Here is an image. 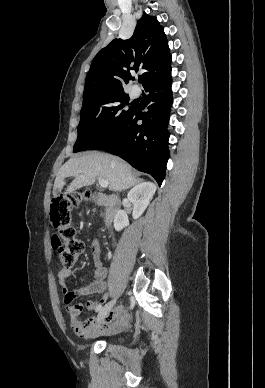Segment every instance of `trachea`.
<instances>
[{
    "mask_svg": "<svg viewBox=\"0 0 265 388\" xmlns=\"http://www.w3.org/2000/svg\"><path fill=\"white\" fill-rule=\"evenodd\" d=\"M139 81H140V82H143V79H140Z\"/></svg>",
    "mask_w": 265,
    "mask_h": 388,
    "instance_id": "obj_1",
    "label": "trachea"
}]
</instances>
